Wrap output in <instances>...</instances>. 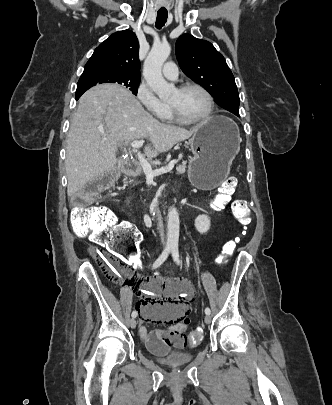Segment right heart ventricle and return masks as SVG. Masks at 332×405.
Here are the masks:
<instances>
[{
    "instance_id": "obj_1",
    "label": "right heart ventricle",
    "mask_w": 332,
    "mask_h": 405,
    "mask_svg": "<svg viewBox=\"0 0 332 405\" xmlns=\"http://www.w3.org/2000/svg\"><path fill=\"white\" fill-rule=\"evenodd\" d=\"M163 119H164V120H167V121H172V120H174V118H173V116H172V114H171V112H170L169 107H167V112H166V114L164 115Z\"/></svg>"
}]
</instances>
